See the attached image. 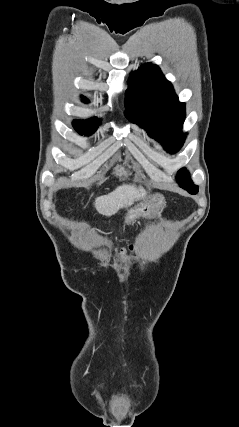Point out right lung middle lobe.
I'll use <instances>...</instances> for the list:
<instances>
[{"label":"right lung middle lobe","mask_w":239,"mask_h":427,"mask_svg":"<svg viewBox=\"0 0 239 427\" xmlns=\"http://www.w3.org/2000/svg\"><path fill=\"white\" fill-rule=\"evenodd\" d=\"M100 123V120L91 118L87 120H74L73 126L79 134L89 136L97 130Z\"/></svg>","instance_id":"obj_1"}]
</instances>
